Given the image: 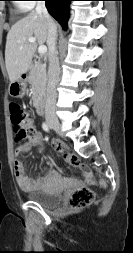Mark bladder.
<instances>
[{"label": "bladder", "mask_w": 133, "mask_h": 253, "mask_svg": "<svg viewBox=\"0 0 133 253\" xmlns=\"http://www.w3.org/2000/svg\"><path fill=\"white\" fill-rule=\"evenodd\" d=\"M27 198L44 208L57 207L63 199L59 192L49 191L41 188L30 191L27 194Z\"/></svg>", "instance_id": "31cf9c89"}]
</instances>
